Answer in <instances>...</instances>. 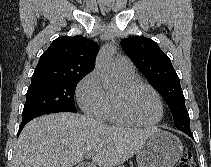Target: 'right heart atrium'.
I'll return each mask as SVG.
<instances>
[{
  "label": "right heart atrium",
  "mask_w": 211,
  "mask_h": 167,
  "mask_svg": "<svg viewBox=\"0 0 211 167\" xmlns=\"http://www.w3.org/2000/svg\"><path fill=\"white\" fill-rule=\"evenodd\" d=\"M76 97L85 114L102 119L108 101L96 71L88 73L81 79L76 88Z\"/></svg>",
  "instance_id": "obj_1"
}]
</instances>
